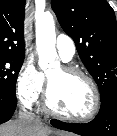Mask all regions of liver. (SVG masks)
I'll list each match as a JSON object with an SVG mask.
<instances>
[{
  "mask_svg": "<svg viewBox=\"0 0 117 136\" xmlns=\"http://www.w3.org/2000/svg\"><path fill=\"white\" fill-rule=\"evenodd\" d=\"M50 133L49 129L41 126L30 127L26 121L21 119L0 125V136H48Z\"/></svg>",
  "mask_w": 117,
  "mask_h": 136,
  "instance_id": "liver-1",
  "label": "liver"
}]
</instances>
